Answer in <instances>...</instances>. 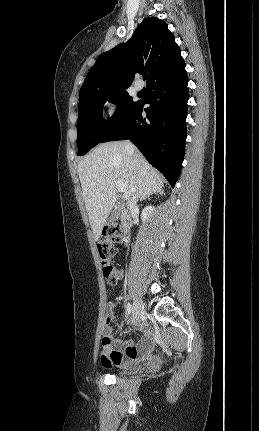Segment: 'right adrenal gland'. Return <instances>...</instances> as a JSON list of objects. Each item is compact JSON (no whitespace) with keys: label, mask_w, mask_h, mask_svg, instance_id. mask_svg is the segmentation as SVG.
<instances>
[{"label":"right adrenal gland","mask_w":259,"mask_h":431,"mask_svg":"<svg viewBox=\"0 0 259 431\" xmlns=\"http://www.w3.org/2000/svg\"><path fill=\"white\" fill-rule=\"evenodd\" d=\"M150 195H151V194L144 196V197L142 198V200H144L145 198L149 197Z\"/></svg>","instance_id":"right-adrenal-gland-1"}]
</instances>
